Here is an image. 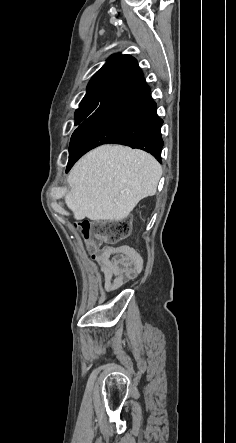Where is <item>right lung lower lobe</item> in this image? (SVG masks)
Here are the masks:
<instances>
[{
	"instance_id": "obj_1",
	"label": "right lung lower lobe",
	"mask_w": 236,
	"mask_h": 443,
	"mask_svg": "<svg viewBox=\"0 0 236 443\" xmlns=\"http://www.w3.org/2000/svg\"><path fill=\"white\" fill-rule=\"evenodd\" d=\"M162 124L142 77L131 87L109 96L79 129L69 147L66 172L87 151L105 143L142 149L161 161Z\"/></svg>"
}]
</instances>
